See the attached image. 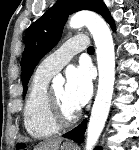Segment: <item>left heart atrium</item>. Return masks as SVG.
I'll return each instance as SVG.
<instances>
[{"mask_svg": "<svg viewBox=\"0 0 139 150\" xmlns=\"http://www.w3.org/2000/svg\"><path fill=\"white\" fill-rule=\"evenodd\" d=\"M66 78L67 100L78 110L88 102L92 94L90 70L86 66L74 67L67 71Z\"/></svg>", "mask_w": 139, "mask_h": 150, "instance_id": "39dd6f15", "label": "left heart atrium"}]
</instances>
